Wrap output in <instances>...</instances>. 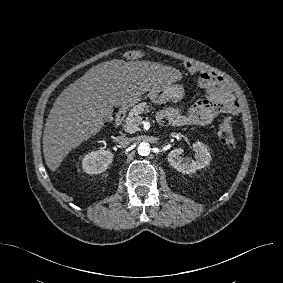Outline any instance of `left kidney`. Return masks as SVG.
<instances>
[{
  "instance_id": "5707ae66",
  "label": "left kidney",
  "mask_w": 283,
  "mask_h": 283,
  "mask_svg": "<svg viewBox=\"0 0 283 283\" xmlns=\"http://www.w3.org/2000/svg\"><path fill=\"white\" fill-rule=\"evenodd\" d=\"M192 147L195 151V160L192 162L184 161V158L181 156L184 153L182 148L174 149L168 154V161L170 165L173 166L178 172L183 174H191L209 165L211 161V155L207 146L198 141L195 142Z\"/></svg>"
}]
</instances>
